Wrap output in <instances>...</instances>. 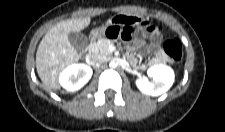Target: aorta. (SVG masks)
I'll list each match as a JSON object with an SVG mask.
<instances>
[{
	"label": "aorta",
	"mask_w": 225,
	"mask_h": 132,
	"mask_svg": "<svg viewBox=\"0 0 225 132\" xmlns=\"http://www.w3.org/2000/svg\"><path fill=\"white\" fill-rule=\"evenodd\" d=\"M109 65L110 67L114 68L117 66V63L115 61H111Z\"/></svg>",
	"instance_id": "762f6f07"
}]
</instances>
